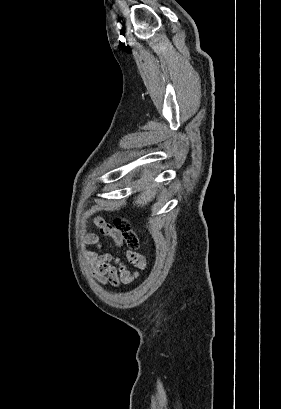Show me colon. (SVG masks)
Returning a JSON list of instances; mask_svg holds the SVG:
<instances>
[{"mask_svg":"<svg viewBox=\"0 0 281 409\" xmlns=\"http://www.w3.org/2000/svg\"><path fill=\"white\" fill-rule=\"evenodd\" d=\"M115 225L121 231V241L126 249H137L139 244L138 237L135 233L128 230L127 224L118 220Z\"/></svg>","mask_w":281,"mask_h":409,"instance_id":"obj_1","label":"colon"}]
</instances>
